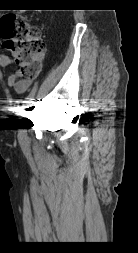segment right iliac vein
Listing matches in <instances>:
<instances>
[{"label": "right iliac vein", "instance_id": "right-iliac-vein-1", "mask_svg": "<svg viewBox=\"0 0 138 253\" xmlns=\"http://www.w3.org/2000/svg\"><path fill=\"white\" fill-rule=\"evenodd\" d=\"M30 114H31V109H28L24 115L23 125H22V128L20 129L19 138L22 143L25 142V135L27 134L29 126H30V120H31Z\"/></svg>", "mask_w": 138, "mask_h": 253}]
</instances>
